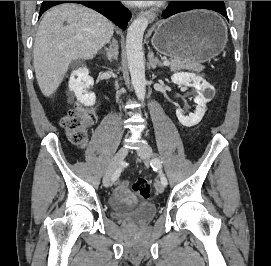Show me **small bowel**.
I'll return each instance as SVG.
<instances>
[{
	"label": "small bowel",
	"instance_id": "c3829d8e",
	"mask_svg": "<svg viewBox=\"0 0 271 266\" xmlns=\"http://www.w3.org/2000/svg\"><path fill=\"white\" fill-rule=\"evenodd\" d=\"M138 202L137 196L129 189V183L122 181L113 191L111 203L113 206L129 207Z\"/></svg>",
	"mask_w": 271,
	"mask_h": 266
}]
</instances>
